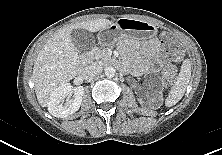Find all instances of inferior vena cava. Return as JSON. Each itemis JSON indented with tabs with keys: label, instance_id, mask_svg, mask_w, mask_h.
I'll return each instance as SVG.
<instances>
[{
	"label": "inferior vena cava",
	"instance_id": "602c4592",
	"mask_svg": "<svg viewBox=\"0 0 222 155\" xmlns=\"http://www.w3.org/2000/svg\"><path fill=\"white\" fill-rule=\"evenodd\" d=\"M102 66L99 64H90L86 66L82 71V76L85 80L92 79L102 72Z\"/></svg>",
	"mask_w": 222,
	"mask_h": 155
}]
</instances>
